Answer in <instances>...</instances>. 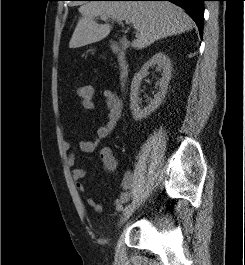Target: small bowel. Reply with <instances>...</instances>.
Returning <instances> with one entry per match:
<instances>
[{"mask_svg": "<svg viewBox=\"0 0 245 265\" xmlns=\"http://www.w3.org/2000/svg\"><path fill=\"white\" fill-rule=\"evenodd\" d=\"M103 95L107 110V120L97 129L94 139H83L78 143V149L82 152H93L98 144L110 136L121 120L123 112V102L121 98L112 90H105ZM82 105L84 109L88 111H93L96 108L94 101L82 103ZM63 148L67 152L68 166L74 167L76 163V146L69 141H65L63 143ZM100 156L107 171L112 172L116 169L117 161L111 148L104 147L100 152ZM71 174L73 180L75 181L76 189L81 193H85V186L82 183V179H84L86 176V170L83 167H75L73 168ZM133 186L134 175L131 171H126L121 182L122 191L114 201V205L117 206L127 203L131 198ZM86 202L96 213H101L103 211V206L96 202L93 198L88 197Z\"/></svg>", "mask_w": 245, "mask_h": 265, "instance_id": "1", "label": "small bowel"}]
</instances>
